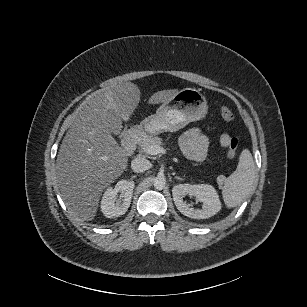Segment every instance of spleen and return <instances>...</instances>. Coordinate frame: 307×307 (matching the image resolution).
I'll return each instance as SVG.
<instances>
[{
	"label": "spleen",
	"mask_w": 307,
	"mask_h": 307,
	"mask_svg": "<svg viewBox=\"0 0 307 307\" xmlns=\"http://www.w3.org/2000/svg\"><path fill=\"white\" fill-rule=\"evenodd\" d=\"M257 186L255 164L252 154L244 149L239 157L236 170L226 178L222 187V196L228 208L236 207L245 198L252 195Z\"/></svg>",
	"instance_id": "spleen-1"
}]
</instances>
